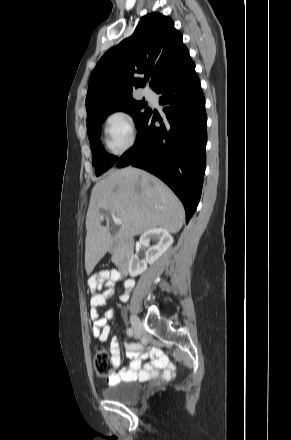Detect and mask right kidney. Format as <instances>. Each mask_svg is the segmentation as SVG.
<instances>
[{
	"label": "right kidney",
	"mask_w": 291,
	"mask_h": 440,
	"mask_svg": "<svg viewBox=\"0 0 291 440\" xmlns=\"http://www.w3.org/2000/svg\"><path fill=\"white\" fill-rule=\"evenodd\" d=\"M151 239L156 242L153 246H149ZM139 242L142 246L148 247L146 258L140 260L137 255L131 257L128 267L131 277H136L146 271L147 265L153 264L172 245L173 237L164 228H154L143 233Z\"/></svg>",
	"instance_id": "obj_1"
}]
</instances>
